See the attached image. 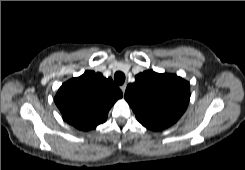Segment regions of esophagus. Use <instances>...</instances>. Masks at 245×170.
I'll list each match as a JSON object with an SVG mask.
<instances>
[{
  "instance_id": "esophagus-1",
  "label": "esophagus",
  "mask_w": 245,
  "mask_h": 170,
  "mask_svg": "<svg viewBox=\"0 0 245 170\" xmlns=\"http://www.w3.org/2000/svg\"><path fill=\"white\" fill-rule=\"evenodd\" d=\"M126 87H127V84H123V85L121 86V90H122L123 95H124V93H125Z\"/></svg>"
}]
</instances>
